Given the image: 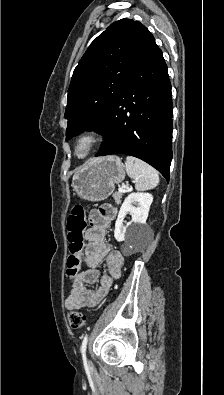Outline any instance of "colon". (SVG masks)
<instances>
[{
  "mask_svg": "<svg viewBox=\"0 0 224 395\" xmlns=\"http://www.w3.org/2000/svg\"><path fill=\"white\" fill-rule=\"evenodd\" d=\"M67 232L69 250L71 255L67 259L66 276L74 278L78 275L81 255L84 248L83 233L86 228L85 208L82 205H76L68 219H67ZM68 321L73 329H81L87 322V315L81 311H71L68 315Z\"/></svg>",
  "mask_w": 224,
  "mask_h": 395,
  "instance_id": "5ec220e1",
  "label": "colon"
}]
</instances>
